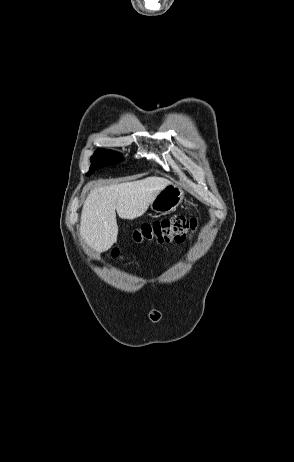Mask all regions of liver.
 <instances>
[{"instance_id":"obj_1","label":"liver","mask_w":294,"mask_h":462,"mask_svg":"<svg viewBox=\"0 0 294 462\" xmlns=\"http://www.w3.org/2000/svg\"><path fill=\"white\" fill-rule=\"evenodd\" d=\"M171 182L161 177L121 183L93 189L84 201L80 235L98 253L117 241L116 211L120 218L133 220L142 216L159 191Z\"/></svg>"}]
</instances>
